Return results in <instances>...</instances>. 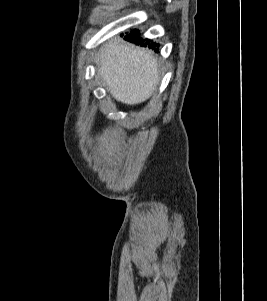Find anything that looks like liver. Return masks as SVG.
<instances>
[{"mask_svg":"<svg viewBox=\"0 0 267 301\" xmlns=\"http://www.w3.org/2000/svg\"><path fill=\"white\" fill-rule=\"evenodd\" d=\"M98 73L119 102L135 105L147 100L159 84L157 59L148 49L109 42L101 50Z\"/></svg>","mask_w":267,"mask_h":301,"instance_id":"6515ba94","label":"liver"}]
</instances>
